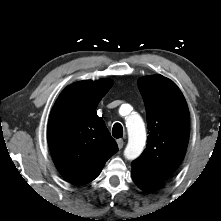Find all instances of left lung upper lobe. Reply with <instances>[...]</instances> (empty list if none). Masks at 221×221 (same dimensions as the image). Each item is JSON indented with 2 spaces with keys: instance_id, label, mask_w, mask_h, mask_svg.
<instances>
[{
  "instance_id": "left-lung-upper-lobe-1",
  "label": "left lung upper lobe",
  "mask_w": 221,
  "mask_h": 221,
  "mask_svg": "<svg viewBox=\"0 0 221 221\" xmlns=\"http://www.w3.org/2000/svg\"><path fill=\"white\" fill-rule=\"evenodd\" d=\"M148 123L146 149L132 164L162 181L167 180L183 160L189 140V110L174 82L162 75L138 80Z\"/></svg>"
}]
</instances>
